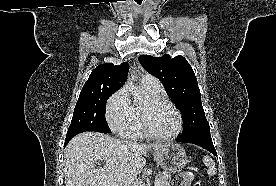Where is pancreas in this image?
<instances>
[{"label": "pancreas", "instance_id": "obj_1", "mask_svg": "<svg viewBox=\"0 0 276 186\" xmlns=\"http://www.w3.org/2000/svg\"><path fill=\"white\" fill-rule=\"evenodd\" d=\"M158 186H170L171 175L169 172H159L156 176Z\"/></svg>", "mask_w": 276, "mask_h": 186}]
</instances>
